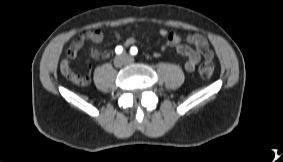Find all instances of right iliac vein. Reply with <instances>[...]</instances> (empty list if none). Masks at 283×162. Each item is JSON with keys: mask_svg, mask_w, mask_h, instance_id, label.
<instances>
[{"mask_svg": "<svg viewBox=\"0 0 283 162\" xmlns=\"http://www.w3.org/2000/svg\"><path fill=\"white\" fill-rule=\"evenodd\" d=\"M123 63L122 59L121 58H117L116 61H115V64L117 66L121 65Z\"/></svg>", "mask_w": 283, "mask_h": 162, "instance_id": "63e3f726", "label": "right iliac vein"}]
</instances>
